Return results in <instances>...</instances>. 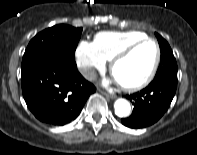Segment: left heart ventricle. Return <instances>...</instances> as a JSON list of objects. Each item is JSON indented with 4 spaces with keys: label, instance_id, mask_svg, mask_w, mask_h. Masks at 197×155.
<instances>
[{
    "label": "left heart ventricle",
    "instance_id": "1",
    "mask_svg": "<svg viewBox=\"0 0 197 155\" xmlns=\"http://www.w3.org/2000/svg\"><path fill=\"white\" fill-rule=\"evenodd\" d=\"M156 56L153 43L147 42L134 49L114 67L113 76L122 84H135L142 81L150 71Z\"/></svg>",
    "mask_w": 197,
    "mask_h": 155
}]
</instances>
